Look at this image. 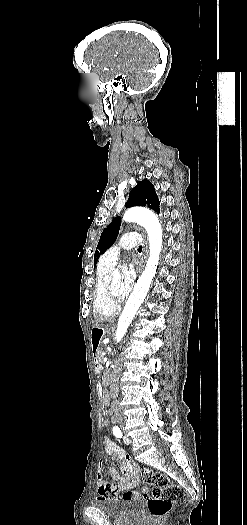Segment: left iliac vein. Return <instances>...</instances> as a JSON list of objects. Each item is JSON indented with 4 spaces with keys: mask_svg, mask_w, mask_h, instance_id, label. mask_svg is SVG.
I'll list each match as a JSON object with an SVG mask.
<instances>
[{
    "mask_svg": "<svg viewBox=\"0 0 247 525\" xmlns=\"http://www.w3.org/2000/svg\"><path fill=\"white\" fill-rule=\"evenodd\" d=\"M123 442H124L126 445H129V444H130V439H129L127 436H124V437H123Z\"/></svg>",
    "mask_w": 247,
    "mask_h": 525,
    "instance_id": "obj_1",
    "label": "left iliac vein"
}]
</instances>
